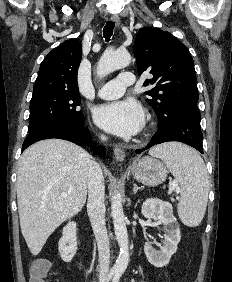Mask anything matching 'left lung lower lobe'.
<instances>
[{
    "label": "left lung lower lobe",
    "mask_w": 232,
    "mask_h": 282,
    "mask_svg": "<svg viewBox=\"0 0 232 282\" xmlns=\"http://www.w3.org/2000/svg\"><path fill=\"white\" fill-rule=\"evenodd\" d=\"M158 131L151 142L139 154L151 146L168 141H179L188 144L203 154L200 112L197 105L180 101L173 105L163 116H158Z\"/></svg>",
    "instance_id": "left-lung-lower-lobe-1"
}]
</instances>
